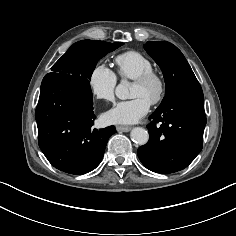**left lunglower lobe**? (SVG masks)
Instances as JSON below:
<instances>
[{
  "instance_id": "0a47b994",
  "label": "left lung lower lobe",
  "mask_w": 236,
  "mask_h": 236,
  "mask_svg": "<svg viewBox=\"0 0 236 236\" xmlns=\"http://www.w3.org/2000/svg\"><path fill=\"white\" fill-rule=\"evenodd\" d=\"M149 118V140L137 151L142 164L161 174L186 168L202 150L206 116L201 86L177 91Z\"/></svg>"
}]
</instances>
